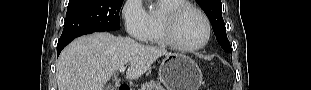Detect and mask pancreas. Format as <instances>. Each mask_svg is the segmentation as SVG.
Returning <instances> with one entry per match:
<instances>
[{"label": "pancreas", "instance_id": "obj_1", "mask_svg": "<svg viewBox=\"0 0 311 90\" xmlns=\"http://www.w3.org/2000/svg\"><path fill=\"white\" fill-rule=\"evenodd\" d=\"M140 90H164V88L159 82L151 80L150 82H145L144 84H142Z\"/></svg>", "mask_w": 311, "mask_h": 90}]
</instances>
